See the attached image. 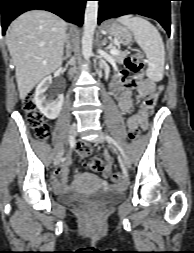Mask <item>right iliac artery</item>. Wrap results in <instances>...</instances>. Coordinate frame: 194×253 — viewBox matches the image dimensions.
I'll use <instances>...</instances> for the list:
<instances>
[{"instance_id":"right-iliac-artery-1","label":"right iliac artery","mask_w":194,"mask_h":253,"mask_svg":"<svg viewBox=\"0 0 194 253\" xmlns=\"http://www.w3.org/2000/svg\"><path fill=\"white\" fill-rule=\"evenodd\" d=\"M69 143H70L71 146H73V144H74V138L73 137H69ZM64 160H65V158L62 159V161H64Z\"/></svg>"}]
</instances>
